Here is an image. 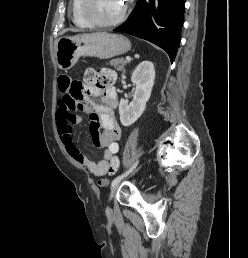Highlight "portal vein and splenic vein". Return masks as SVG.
<instances>
[{
    "instance_id": "portal-vein-and-splenic-vein-1",
    "label": "portal vein and splenic vein",
    "mask_w": 248,
    "mask_h": 258,
    "mask_svg": "<svg viewBox=\"0 0 248 258\" xmlns=\"http://www.w3.org/2000/svg\"><path fill=\"white\" fill-rule=\"evenodd\" d=\"M126 60H127V61H130V60H131V57H130V56H127V57H126Z\"/></svg>"
}]
</instances>
